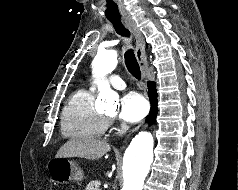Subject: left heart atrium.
<instances>
[{"label": "left heart atrium", "instance_id": "39dd6f15", "mask_svg": "<svg viewBox=\"0 0 238 190\" xmlns=\"http://www.w3.org/2000/svg\"><path fill=\"white\" fill-rule=\"evenodd\" d=\"M148 112V103L140 94L130 92L120 102L119 117L125 122L135 123L143 119Z\"/></svg>", "mask_w": 238, "mask_h": 190}]
</instances>
